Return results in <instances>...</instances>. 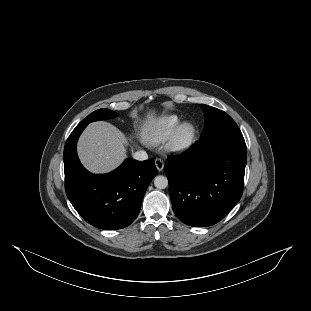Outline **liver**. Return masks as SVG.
<instances>
[{
    "label": "liver",
    "mask_w": 311,
    "mask_h": 311,
    "mask_svg": "<svg viewBox=\"0 0 311 311\" xmlns=\"http://www.w3.org/2000/svg\"><path fill=\"white\" fill-rule=\"evenodd\" d=\"M78 150L83 163L89 169L107 172L125 158V137L108 123H93L83 133Z\"/></svg>",
    "instance_id": "obj_1"
}]
</instances>
